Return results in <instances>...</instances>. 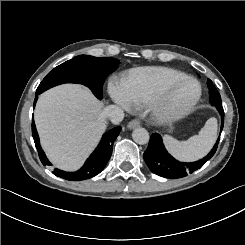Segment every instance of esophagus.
<instances>
[{
	"instance_id": "esophagus-1",
	"label": "esophagus",
	"mask_w": 245,
	"mask_h": 245,
	"mask_svg": "<svg viewBox=\"0 0 245 245\" xmlns=\"http://www.w3.org/2000/svg\"><path fill=\"white\" fill-rule=\"evenodd\" d=\"M139 125H140V120H138V119H133V120H131V121L128 123V128H129V129H134V128H136V127H139Z\"/></svg>"
}]
</instances>
